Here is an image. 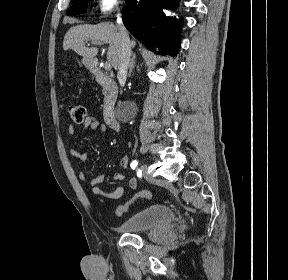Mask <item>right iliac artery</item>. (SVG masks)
<instances>
[{"label": "right iliac artery", "instance_id": "right-iliac-artery-1", "mask_svg": "<svg viewBox=\"0 0 288 280\" xmlns=\"http://www.w3.org/2000/svg\"><path fill=\"white\" fill-rule=\"evenodd\" d=\"M137 165H138V162L136 160H134V161H132L130 166H131V168H136Z\"/></svg>", "mask_w": 288, "mask_h": 280}]
</instances>
